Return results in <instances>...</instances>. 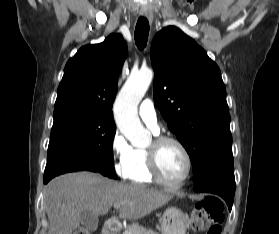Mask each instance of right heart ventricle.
I'll list each match as a JSON object with an SVG mask.
<instances>
[{"mask_svg": "<svg viewBox=\"0 0 279 234\" xmlns=\"http://www.w3.org/2000/svg\"><path fill=\"white\" fill-rule=\"evenodd\" d=\"M137 184H151L154 179L149 171L148 154L145 148H133L127 166L126 177Z\"/></svg>", "mask_w": 279, "mask_h": 234, "instance_id": "right-heart-ventricle-1", "label": "right heart ventricle"}]
</instances>
